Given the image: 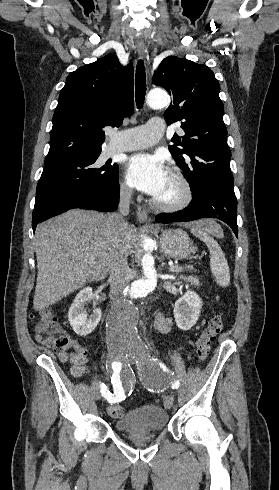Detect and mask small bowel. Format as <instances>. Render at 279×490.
Returning <instances> with one entry per match:
<instances>
[{
    "instance_id": "c3829d8e",
    "label": "small bowel",
    "mask_w": 279,
    "mask_h": 490,
    "mask_svg": "<svg viewBox=\"0 0 279 490\" xmlns=\"http://www.w3.org/2000/svg\"><path fill=\"white\" fill-rule=\"evenodd\" d=\"M155 328L161 333H166L172 328V321L162 314H158L155 319ZM58 358L62 363L68 364L72 376L81 378L90 372L88 366V351L74 340L73 351L61 352Z\"/></svg>"
}]
</instances>
